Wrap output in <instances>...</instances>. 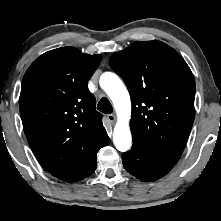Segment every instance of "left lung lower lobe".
Returning <instances> with one entry per match:
<instances>
[{"label":"left lung lower lobe","instance_id":"left-lung-lower-lobe-1","mask_svg":"<svg viewBox=\"0 0 221 221\" xmlns=\"http://www.w3.org/2000/svg\"><path fill=\"white\" fill-rule=\"evenodd\" d=\"M181 154L151 148L133 139L132 149L123 153L125 169L143 181H154L166 175L177 163Z\"/></svg>","mask_w":221,"mask_h":221}]
</instances>
